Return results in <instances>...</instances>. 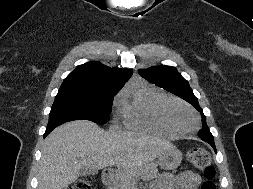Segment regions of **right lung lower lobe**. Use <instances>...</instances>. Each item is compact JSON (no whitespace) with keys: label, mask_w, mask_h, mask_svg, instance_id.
I'll list each match as a JSON object with an SVG mask.
<instances>
[{"label":"right lung lower lobe","mask_w":253,"mask_h":189,"mask_svg":"<svg viewBox=\"0 0 253 189\" xmlns=\"http://www.w3.org/2000/svg\"><path fill=\"white\" fill-rule=\"evenodd\" d=\"M58 125H54V126H47V129L45 131V134H44V138L54 129L56 128Z\"/></svg>","instance_id":"obj_1"}]
</instances>
